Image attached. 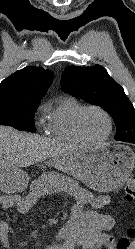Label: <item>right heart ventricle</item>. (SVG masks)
I'll return each instance as SVG.
<instances>
[{
  "label": "right heart ventricle",
  "mask_w": 135,
  "mask_h": 249,
  "mask_svg": "<svg viewBox=\"0 0 135 249\" xmlns=\"http://www.w3.org/2000/svg\"><path fill=\"white\" fill-rule=\"evenodd\" d=\"M83 104L74 97H64L46 107V134L56 141L69 145H83L86 142L75 129V116Z\"/></svg>",
  "instance_id": "right-heart-ventricle-1"
}]
</instances>
